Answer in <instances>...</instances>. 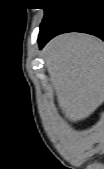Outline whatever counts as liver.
<instances>
[{"mask_svg": "<svg viewBox=\"0 0 104 169\" xmlns=\"http://www.w3.org/2000/svg\"><path fill=\"white\" fill-rule=\"evenodd\" d=\"M58 106L71 122L90 116L104 99V45L98 38L68 33L43 49Z\"/></svg>", "mask_w": 104, "mask_h": 169, "instance_id": "liver-1", "label": "liver"}]
</instances>
